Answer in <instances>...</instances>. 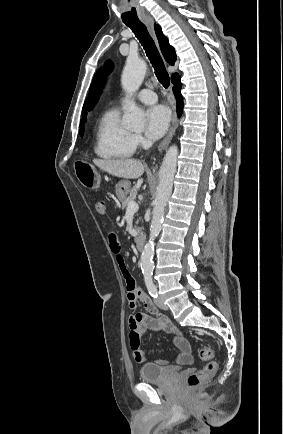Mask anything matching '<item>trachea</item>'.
<instances>
[{
	"instance_id": "obj_1",
	"label": "trachea",
	"mask_w": 283,
	"mask_h": 434,
	"mask_svg": "<svg viewBox=\"0 0 283 434\" xmlns=\"http://www.w3.org/2000/svg\"><path fill=\"white\" fill-rule=\"evenodd\" d=\"M126 25L132 30V32L135 34V36L143 46L146 55L155 70V75L157 79L164 88H168L170 85L169 74L146 26L140 21L134 23H126Z\"/></svg>"
}]
</instances>
